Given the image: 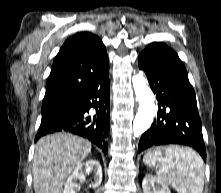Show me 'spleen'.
<instances>
[{
    "mask_svg": "<svg viewBox=\"0 0 221 193\" xmlns=\"http://www.w3.org/2000/svg\"><path fill=\"white\" fill-rule=\"evenodd\" d=\"M150 168H158L157 176L178 193H203L204 163L191 148L152 146L143 157Z\"/></svg>",
    "mask_w": 221,
    "mask_h": 193,
    "instance_id": "1",
    "label": "spleen"
}]
</instances>
